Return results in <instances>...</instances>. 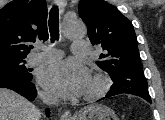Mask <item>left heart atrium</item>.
Masks as SVG:
<instances>
[{"instance_id": "obj_1", "label": "left heart atrium", "mask_w": 165, "mask_h": 120, "mask_svg": "<svg viewBox=\"0 0 165 120\" xmlns=\"http://www.w3.org/2000/svg\"><path fill=\"white\" fill-rule=\"evenodd\" d=\"M90 79L87 67L77 60L54 63L40 75V83L46 90L65 98L84 94Z\"/></svg>"}]
</instances>
